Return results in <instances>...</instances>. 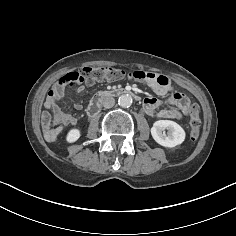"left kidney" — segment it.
I'll list each match as a JSON object with an SVG mask.
<instances>
[{"mask_svg": "<svg viewBox=\"0 0 236 236\" xmlns=\"http://www.w3.org/2000/svg\"><path fill=\"white\" fill-rule=\"evenodd\" d=\"M165 130H168L167 134ZM151 135L158 144L167 148L182 144L186 136L184 129L170 120L156 121L151 128Z\"/></svg>", "mask_w": 236, "mask_h": 236, "instance_id": "5707ae66", "label": "left kidney"}]
</instances>
